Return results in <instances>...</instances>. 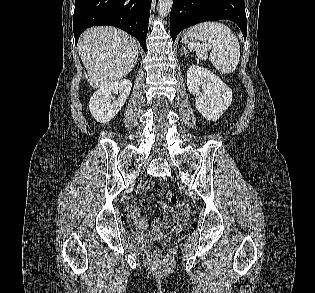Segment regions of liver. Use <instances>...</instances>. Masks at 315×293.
Returning a JSON list of instances; mask_svg holds the SVG:
<instances>
[{"label":"liver","instance_id":"6515ba94","mask_svg":"<svg viewBox=\"0 0 315 293\" xmlns=\"http://www.w3.org/2000/svg\"><path fill=\"white\" fill-rule=\"evenodd\" d=\"M78 51L93 88L115 82L128 75L138 58L137 41L126 32L108 26L86 30Z\"/></svg>","mask_w":315,"mask_h":293}]
</instances>
